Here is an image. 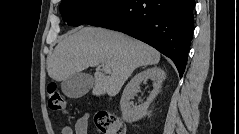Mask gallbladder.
<instances>
[{
	"instance_id": "1",
	"label": "gallbladder",
	"mask_w": 239,
	"mask_h": 134,
	"mask_svg": "<svg viewBox=\"0 0 239 134\" xmlns=\"http://www.w3.org/2000/svg\"><path fill=\"white\" fill-rule=\"evenodd\" d=\"M93 85L92 76L79 72L64 79L61 83V89L69 98H80L88 93Z\"/></svg>"
}]
</instances>
